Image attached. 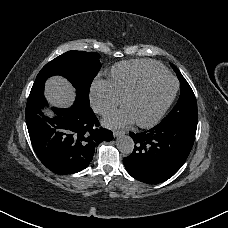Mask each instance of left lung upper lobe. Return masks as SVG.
Listing matches in <instances>:
<instances>
[{"mask_svg":"<svg viewBox=\"0 0 228 228\" xmlns=\"http://www.w3.org/2000/svg\"><path fill=\"white\" fill-rule=\"evenodd\" d=\"M176 72L180 85V97L171 112L158 124L161 127L187 126L197 128L198 112L195 95L178 68L170 64Z\"/></svg>","mask_w":228,"mask_h":228,"instance_id":"obj_1","label":"left lung upper lobe"}]
</instances>
